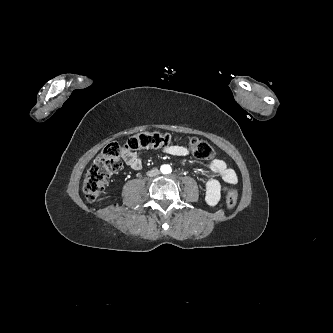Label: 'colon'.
<instances>
[{
  "instance_id": "1",
  "label": "colon",
  "mask_w": 333,
  "mask_h": 333,
  "mask_svg": "<svg viewBox=\"0 0 333 333\" xmlns=\"http://www.w3.org/2000/svg\"><path fill=\"white\" fill-rule=\"evenodd\" d=\"M173 140L172 136L161 132H142L131 136L123 146L112 142L105 146L102 152L88 170L84 182L83 192L89 202H95L104 191L108 177L121 168V153L124 150L136 151L154 149L167 146ZM192 154L204 161L213 160L216 156L214 149L205 141L198 138L188 140ZM238 198L237 189L231 187L226 197L229 209L236 206Z\"/></svg>"
}]
</instances>
